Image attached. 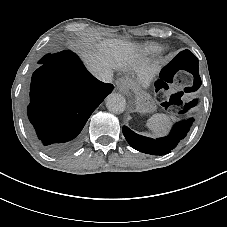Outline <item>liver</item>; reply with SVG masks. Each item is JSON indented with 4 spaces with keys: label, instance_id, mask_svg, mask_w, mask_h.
I'll use <instances>...</instances> for the list:
<instances>
[{
    "label": "liver",
    "instance_id": "obj_1",
    "mask_svg": "<svg viewBox=\"0 0 227 227\" xmlns=\"http://www.w3.org/2000/svg\"><path fill=\"white\" fill-rule=\"evenodd\" d=\"M89 46V43H83ZM76 49L78 47H72ZM97 51L84 49V52L78 50L77 53L84 60L88 70L92 74H98L105 71H112L114 68H122L126 64L131 66L137 73V81L134 82L136 88L146 87L149 83L150 74L156 70L159 61H152L137 53L139 46L135 43L121 40V39H108L96 45Z\"/></svg>",
    "mask_w": 227,
    "mask_h": 227
}]
</instances>
